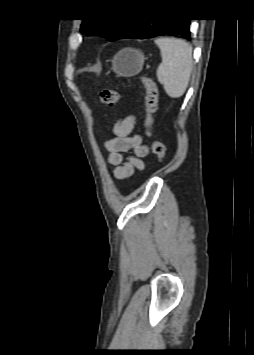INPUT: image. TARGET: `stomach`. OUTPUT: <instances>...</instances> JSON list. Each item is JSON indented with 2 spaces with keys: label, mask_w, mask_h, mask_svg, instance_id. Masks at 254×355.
I'll return each mask as SVG.
<instances>
[{
  "label": "stomach",
  "mask_w": 254,
  "mask_h": 355,
  "mask_svg": "<svg viewBox=\"0 0 254 355\" xmlns=\"http://www.w3.org/2000/svg\"><path fill=\"white\" fill-rule=\"evenodd\" d=\"M144 54L133 48L120 50L112 60V69L118 76L131 77L138 74L144 65Z\"/></svg>",
  "instance_id": "stomach-1"
}]
</instances>
